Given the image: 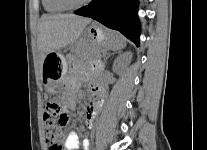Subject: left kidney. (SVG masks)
I'll use <instances>...</instances> for the list:
<instances>
[{
  "mask_svg": "<svg viewBox=\"0 0 207 150\" xmlns=\"http://www.w3.org/2000/svg\"><path fill=\"white\" fill-rule=\"evenodd\" d=\"M130 58H131L130 53H125V54L121 55L119 58H117L113 64V71L117 72L120 65L123 64V62L130 60Z\"/></svg>",
  "mask_w": 207,
  "mask_h": 150,
  "instance_id": "1",
  "label": "left kidney"
}]
</instances>
